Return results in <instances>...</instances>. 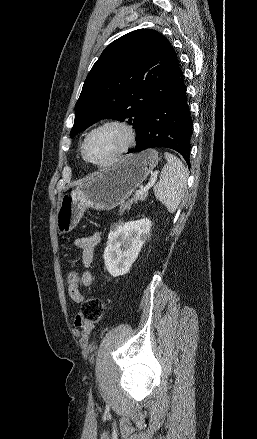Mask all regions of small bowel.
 <instances>
[{"mask_svg":"<svg viewBox=\"0 0 257 439\" xmlns=\"http://www.w3.org/2000/svg\"><path fill=\"white\" fill-rule=\"evenodd\" d=\"M99 241L100 235L93 233L89 236L78 238L74 242L75 246L82 250L80 259L82 272L79 274L78 283L73 286L69 285L68 287L69 295L74 302H82L84 296L81 293V289L89 287L93 283V276L89 269L94 259V248ZM92 330V324L83 321L80 316H77L73 333L79 339L81 346L86 347L88 345Z\"/></svg>","mask_w":257,"mask_h":439,"instance_id":"obj_1","label":"small bowel"}]
</instances>
